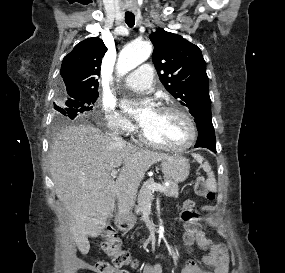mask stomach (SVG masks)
Listing matches in <instances>:
<instances>
[{"label": "stomach", "mask_w": 285, "mask_h": 273, "mask_svg": "<svg viewBox=\"0 0 285 273\" xmlns=\"http://www.w3.org/2000/svg\"><path fill=\"white\" fill-rule=\"evenodd\" d=\"M161 169L168 180L179 183L187 179L190 172V164L186 158L173 155L162 160Z\"/></svg>", "instance_id": "stomach-1"}]
</instances>
